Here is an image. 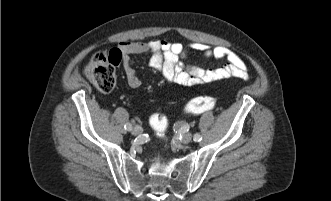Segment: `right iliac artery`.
Here are the masks:
<instances>
[{"label":"right iliac artery","instance_id":"1","mask_svg":"<svg viewBox=\"0 0 331 201\" xmlns=\"http://www.w3.org/2000/svg\"><path fill=\"white\" fill-rule=\"evenodd\" d=\"M125 129L128 130V131H131L132 130V125L130 123H126Z\"/></svg>","mask_w":331,"mask_h":201}]
</instances>
